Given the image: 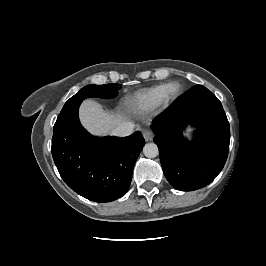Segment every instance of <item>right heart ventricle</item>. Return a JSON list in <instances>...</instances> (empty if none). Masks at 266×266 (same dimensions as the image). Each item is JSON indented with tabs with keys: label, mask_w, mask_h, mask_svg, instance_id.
Instances as JSON below:
<instances>
[{
	"label": "right heart ventricle",
	"mask_w": 266,
	"mask_h": 266,
	"mask_svg": "<svg viewBox=\"0 0 266 266\" xmlns=\"http://www.w3.org/2000/svg\"><path fill=\"white\" fill-rule=\"evenodd\" d=\"M166 91V85H160L140 91L131 99L129 107L135 111H148L154 109L163 103Z\"/></svg>",
	"instance_id": "1"
}]
</instances>
